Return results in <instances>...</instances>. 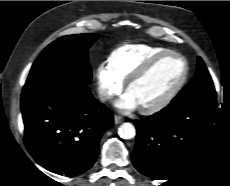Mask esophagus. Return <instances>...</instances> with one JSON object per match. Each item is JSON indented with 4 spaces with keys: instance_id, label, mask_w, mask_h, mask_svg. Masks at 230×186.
Returning <instances> with one entry per match:
<instances>
[{
    "instance_id": "1",
    "label": "esophagus",
    "mask_w": 230,
    "mask_h": 186,
    "mask_svg": "<svg viewBox=\"0 0 230 186\" xmlns=\"http://www.w3.org/2000/svg\"><path fill=\"white\" fill-rule=\"evenodd\" d=\"M114 122H115V124H120L123 122V118L119 115H115L114 116Z\"/></svg>"
}]
</instances>
